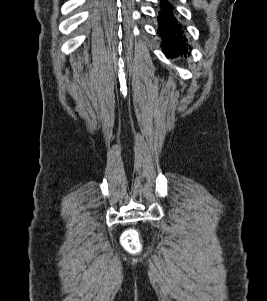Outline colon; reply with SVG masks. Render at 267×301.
Listing matches in <instances>:
<instances>
[{
  "label": "colon",
  "mask_w": 267,
  "mask_h": 301,
  "mask_svg": "<svg viewBox=\"0 0 267 301\" xmlns=\"http://www.w3.org/2000/svg\"><path fill=\"white\" fill-rule=\"evenodd\" d=\"M122 244L124 248L131 252L135 253L140 249V241L136 231L129 230L122 237Z\"/></svg>",
  "instance_id": "5ec220e1"
}]
</instances>
